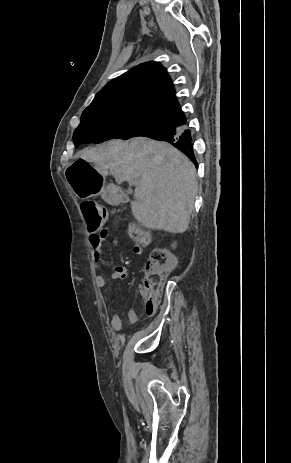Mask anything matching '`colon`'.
<instances>
[{
	"label": "colon",
	"mask_w": 291,
	"mask_h": 463,
	"mask_svg": "<svg viewBox=\"0 0 291 463\" xmlns=\"http://www.w3.org/2000/svg\"><path fill=\"white\" fill-rule=\"evenodd\" d=\"M82 213L87 221L91 232L102 230L108 221L107 210L95 201L87 200L81 204ZM129 235L138 243L146 244L149 235L137 226H130ZM176 264L175 256L166 249L155 248L151 251L145 266V276L141 292L145 297V310L153 315L167 275L173 270Z\"/></svg>",
	"instance_id": "obj_1"
}]
</instances>
